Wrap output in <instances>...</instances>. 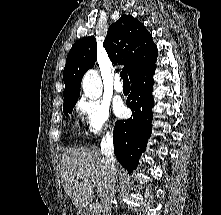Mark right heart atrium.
<instances>
[{"instance_id": "1", "label": "right heart atrium", "mask_w": 221, "mask_h": 215, "mask_svg": "<svg viewBox=\"0 0 221 215\" xmlns=\"http://www.w3.org/2000/svg\"><path fill=\"white\" fill-rule=\"evenodd\" d=\"M76 110L82 117L89 135L96 136L110 130V109L101 100L82 97L76 104Z\"/></svg>"}]
</instances>
